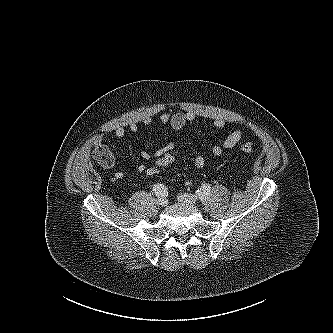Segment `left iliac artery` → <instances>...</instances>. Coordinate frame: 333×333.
<instances>
[{
	"label": "left iliac artery",
	"instance_id": "1",
	"mask_svg": "<svg viewBox=\"0 0 333 333\" xmlns=\"http://www.w3.org/2000/svg\"><path fill=\"white\" fill-rule=\"evenodd\" d=\"M211 185L210 184H203L200 189L197 190V194L200 198H204L210 194Z\"/></svg>",
	"mask_w": 333,
	"mask_h": 333
}]
</instances>
